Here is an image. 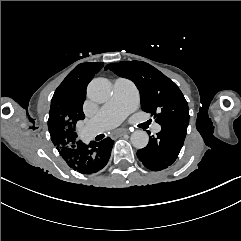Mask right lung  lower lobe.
Wrapping results in <instances>:
<instances>
[{"mask_svg":"<svg viewBox=\"0 0 241 241\" xmlns=\"http://www.w3.org/2000/svg\"><path fill=\"white\" fill-rule=\"evenodd\" d=\"M114 141L109 137L100 142L90 144L75 141L72 144L57 147L68 166L82 174L100 171L107 164Z\"/></svg>","mask_w":241,"mask_h":241,"instance_id":"obj_1","label":"right lung lower lobe"}]
</instances>
